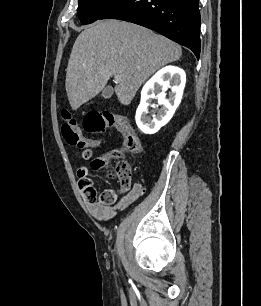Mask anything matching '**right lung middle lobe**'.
Listing matches in <instances>:
<instances>
[{"mask_svg": "<svg viewBox=\"0 0 261 306\" xmlns=\"http://www.w3.org/2000/svg\"><path fill=\"white\" fill-rule=\"evenodd\" d=\"M117 0H79L77 12L83 25L90 24L109 9Z\"/></svg>", "mask_w": 261, "mask_h": 306, "instance_id": "right-lung-middle-lobe-1", "label": "right lung middle lobe"}]
</instances>
